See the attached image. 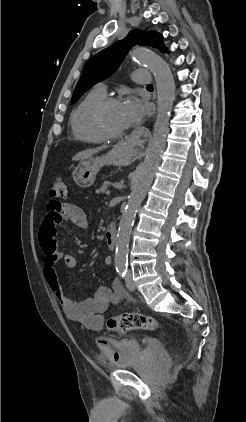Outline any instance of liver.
Masks as SVG:
<instances>
[{"label": "liver", "mask_w": 246, "mask_h": 422, "mask_svg": "<svg viewBox=\"0 0 246 422\" xmlns=\"http://www.w3.org/2000/svg\"><path fill=\"white\" fill-rule=\"evenodd\" d=\"M107 148V146H101V147H97L94 149H87V150H83L81 152H78L73 158V161H78V160H84L87 159L89 157H91L92 155L102 151L103 149Z\"/></svg>", "instance_id": "1"}]
</instances>
